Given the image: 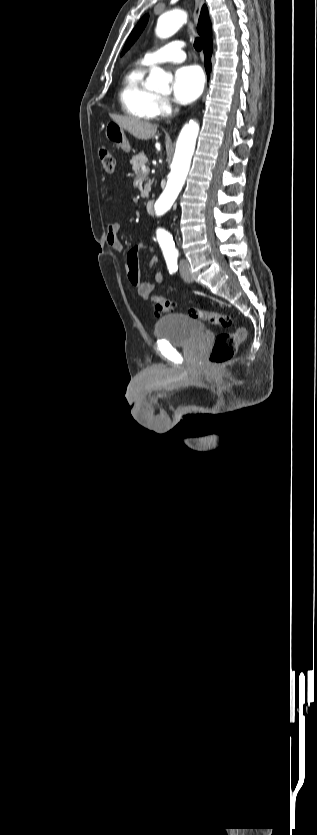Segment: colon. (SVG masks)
Instances as JSON below:
<instances>
[{"instance_id": "colon-1", "label": "colon", "mask_w": 317, "mask_h": 835, "mask_svg": "<svg viewBox=\"0 0 317 835\" xmlns=\"http://www.w3.org/2000/svg\"><path fill=\"white\" fill-rule=\"evenodd\" d=\"M99 158L103 170L106 173L112 174L115 170L116 164L114 154L107 148L101 147L99 149ZM152 300L154 302L156 315H161L174 310V303L169 299L153 296ZM188 314L195 319L205 321L209 324L219 325L224 328H228L233 324V320L230 316L218 312L204 311L192 307L189 309ZM246 336L247 331L244 327L237 328V330L233 333L218 334L214 339L208 357L209 365L212 367H218L229 360L234 355L237 345L242 342Z\"/></svg>"}]
</instances>
